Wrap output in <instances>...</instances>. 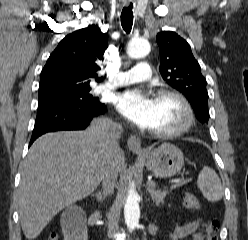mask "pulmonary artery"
<instances>
[{"label":"pulmonary artery","instance_id":"pulmonary-artery-1","mask_svg":"<svg viewBox=\"0 0 248 240\" xmlns=\"http://www.w3.org/2000/svg\"><path fill=\"white\" fill-rule=\"evenodd\" d=\"M151 77L150 66L147 62H139L133 69L129 71L119 72L115 75L113 81L101 84L97 87V92L106 89L123 86L136 82H143Z\"/></svg>","mask_w":248,"mask_h":240}]
</instances>
